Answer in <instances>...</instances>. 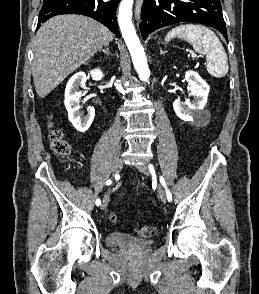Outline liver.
I'll use <instances>...</instances> for the list:
<instances>
[{
    "mask_svg": "<svg viewBox=\"0 0 259 294\" xmlns=\"http://www.w3.org/2000/svg\"><path fill=\"white\" fill-rule=\"evenodd\" d=\"M112 40L107 27L86 16L58 15L46 21L34 41L32 74L38 96H47Z\"/></svg>",
    "mask_w": 259,
    "mask_h": 294,
    "instance_id": "1",
    "label": "liver"
}]
</instances>
